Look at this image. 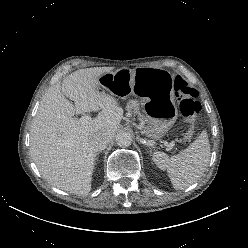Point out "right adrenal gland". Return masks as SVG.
I'll return each instance as SVG.
<instances>
[{"instance_id":"right-adrenal-gland-1","label":"right adrenal gland","mask_w":248,"mask_h":248,"mask_svg":"<svg viewBox=\"0 0 248 248\" xmlns=\"http://www.w3.org/2000/svg\"><path fill=\"white\" fill-rule=\"evenodd\" d=\"M98 154H99V152H98V153H96V155H95V160H97V159H98V158H97Z\"/></svg>"}]
</instances>
